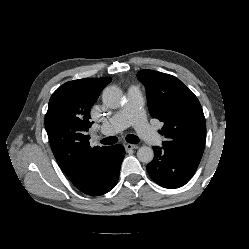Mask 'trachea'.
<instances>
[{"label":"trachea","mask_w":249,"mask_h":249,"mask_svg":"<svg viewBox=\"0 0 249 249\" xmlns=\"http://www.w3.org/2000/svg\"><path fill=\"white\" fill-rule=\"evenodd\" d=\"M117 141H118L117 137L110 136V137L102 139L100 141V143H102L104 145H112V144H115ZM126 141L131 143V144H137L140 142V139L136 135L128 134L126 136Z\"/></svg>","instance_id":"1"}]
</instances>
